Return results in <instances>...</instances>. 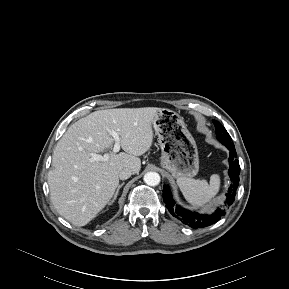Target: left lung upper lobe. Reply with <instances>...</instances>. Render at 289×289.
I'll return each mask as SVG.
<instances>
[{"mask_svg": "<svg viewBox=\"0 0 289 289\" xmlns=\"http://www.w3.org/2000/svg\"><path fill=\"white\" fill-rule=\"evenodd\" d=\"M213 123H214L215 128H216L217 139L221 143L226 142V141H231V137L228 134V132L226 131V129L223 127V125L216 120H213Z\"/></svg>", "mask_w": 289, "mask_h": 289, "instance_id": "obj_1", "label": "left lung upper lobe"}]
</instances>
